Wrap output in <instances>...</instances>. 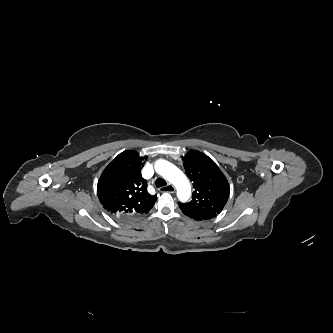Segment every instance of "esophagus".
<instances>
[{"mask_svg":"<svg viewBox=\"0 0 333 333\" xmlns=\"http://www.w3.org/2000/svg\"><path fill=\"white\" fill-rule=\"evenodd\" d=\"M161 190L173 193L175 191V187L172 184H168L167 186L161 188Z\"/></svg>","mask_w":333,"mask_h":333,"instance_id":"obj_1","label":"esophagus"}]
</instances>
